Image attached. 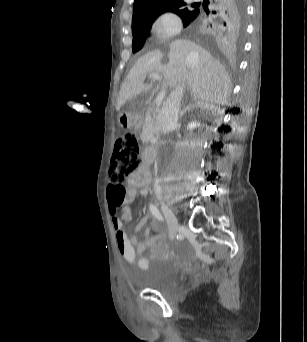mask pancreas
I'll return each mask as SVG.
<instances>
[{"mask_svg": "<svg viewBox=\"0 0 307 342\" xmlns=\"http://www.w3.org/2000/svg\"><path fill=\"white\" fill-rule=\"evenodd\" d=\"M147 120H149L150 124H153L155 118H151V116H148Z\"/></svg>", "mask_w": 307, "mask_h": 342, "instance_id": "obj_1", "label": "pancreas"}]
</instances>
